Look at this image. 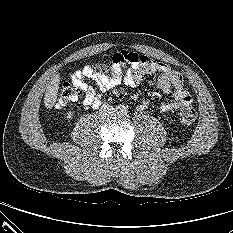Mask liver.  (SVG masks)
<instances>
[{
    "mask_svg": "<svg viewBox=\"0 0 233 233\" xmlns=\"http://www.w3.org/2000/svg\"><path fill=\"white\" fill-rule=\"evenodd\" d=\"M59 83H60V75L57 74L53 77L52 81L47 87L44 96V105L48 109H51L57 100Z\"/></svg>",
    "mask_w": 233,
    "mask_h": 233,
    "instance_id": "6515ba94",
    "label": "liver"
}]
</instances>
